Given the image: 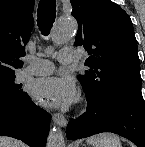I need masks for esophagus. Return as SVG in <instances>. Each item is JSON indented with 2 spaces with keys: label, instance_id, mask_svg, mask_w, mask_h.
<instances>
[{
  "label": "esophagus",
  "instance_id": "34e87169",
  "mask_svg": "<svg viewBox=\"0 0 145 147\" xmlns=\"http://www.w3.org/2000/svg\"><path fill=\"white\" fill-rule=\"evenodd\" d=\"M52 120L55 124L59 125L60 127L64 128L67 125V119L64 115L60 113H53Z\"/></svg>",
  "mask_w": 145,
  "mask_h": 147
}]
</instances>
